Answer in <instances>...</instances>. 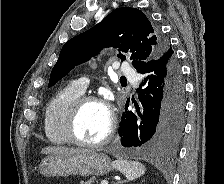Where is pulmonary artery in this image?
Wrapping results in <instances>:
<instances>
[{
    "instance_id": "obj_1",
    "label": "pulmonary artery",
    "mask_w": 224,
    "mask_h": 184,
    "mask_svg": "<svg viewBox=\"0 0 224 184\" xmlns=\"http://www.w3.org/2000/svg\"><path fill=\"white\" fill-rule=\"evenodd\" d=\"M119 72L125 77H133L135 75L134 70L127 64H123L120 67ZM88 84H89V81L84 77L79 78L78 80L75 81L76 88L82 92L86 90V88L88 87Z\"/></svg>"
}]
</instances>
